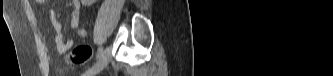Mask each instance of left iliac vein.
<instances>
[{"instance_id":"obj_1","label":"left iliac vein","mask_w":333,"mask_h":76,"mask_svg":"<svg viewBox=\"0 0 333 76\" xmlns=\"http://www.w3.org/2000/svg\"><path fill=\"white\" fill-rule=\"evenodd\" d=\"M111 53H112V48L111 46H107L98 61L94 64L92 68H90L88 71H86L85 75L86 76H93L98 74L100 71H102L107 64L111 60Z\"/></svg>"}]
</instances>
